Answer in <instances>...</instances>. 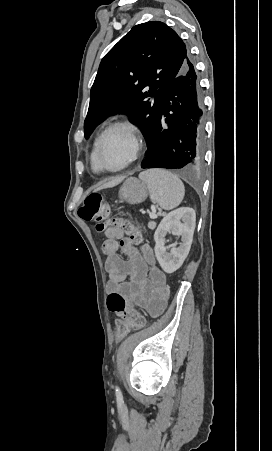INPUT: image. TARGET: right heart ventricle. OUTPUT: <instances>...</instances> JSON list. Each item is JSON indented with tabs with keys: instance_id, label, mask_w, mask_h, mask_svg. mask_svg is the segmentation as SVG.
Instances as JSON below:
<instances>
[{
	"instance_id": "e07e8e85",
	"label": "right heart ventricle",
	"mask_w": 272,
	"mask_h": 451,
	"mask_svg": "<svg viewBox=\"0 0 272 451\" xmlns=\"http://www.w3.org/2000/svg\"><path fill=\"white\" fill-rule=\"evenodd\" d=\"M91 166L94 171H96L95 161H94V151L91 153Z\"/></svg>"
}]
</instances>
